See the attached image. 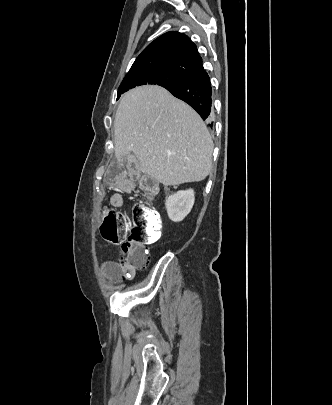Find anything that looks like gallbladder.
I'll list each match as a JSON object with an SVG mask.
<instances>
[{
    "label": "gallbladder",
    "instance_id": "bac80fb5",
    "mask_svg": "<svg viewBox=\"0 0 332 405\" xmlns=\"http://www.w3.org/2000/svg\"><path fill=\"white\" fill-rule=\"evenodd\" d=\"M127 158H128V159H129V158H132V159L134 160V162H137V158H135L133 155L128 154V155H127Z\"/></svg>",
    "mask_w": 332,
    "mask_h": 405
}]
</instances>
